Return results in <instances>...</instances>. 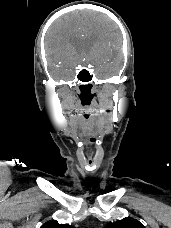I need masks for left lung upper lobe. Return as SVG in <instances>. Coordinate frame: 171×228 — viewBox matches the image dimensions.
Instances as JSON below:
<instances>
[{"mask_svg": "<svg viewBox=\"0 0 171 228\" xmlns=\"http://www.w3.org/2000/svg\"><path fill=\"white\" fill-rule=\"evenodd\" d=\"M105 228H145L138 220L123 219L108 224Z\"/></svg>", "mask_w": 171, "mask_h": 228, "instance_id": "1", "label": "left lung upper lobe"}]
</instances>
